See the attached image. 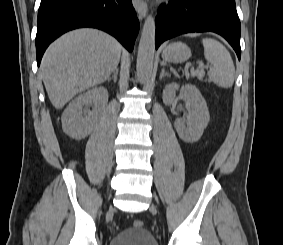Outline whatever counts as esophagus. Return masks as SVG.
Returning a JSON list of instances; mask_svg holds the SVG:
<instances>
[{
    "label": "esophagus",
    "mask_w": 283,
    "mask_h": 245,
    "mask_svg": "<svg viewBox=\"0 0 283 245\" xmlns=\"http://www.w3.org/2000/svg\"><path fill=\"white\" fill-rule=\"evenodd\" d=\"M132 2L139 18H144L147 14L146 3L143 0H132Z\"/></svg>",
    "instance_id": "esophagus-1"
}]
</instances>
